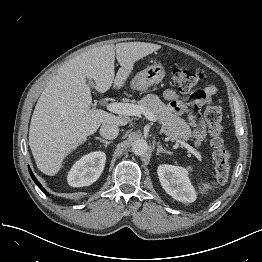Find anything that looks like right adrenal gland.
Returning a JSON list of instances; mask_svg holds the SVG:
<instances>
[{"label":"right adrenal gland","mask_w":262,"mask_h":262,"mask_svg":"<svg viewBox=\"0 0 262 262\" xmlns=\"http://www.w3.org/2000/svg\"><path fill=\"white\" fill-rule=\"evenodd\" d=\"M96 139L99 140L100 142L104 143L105 148L107 147V145H109L110 143H112V141L104 140V139L101 138V137H97Z\"/></svg>","instance_id":"1"}]
</instances>
